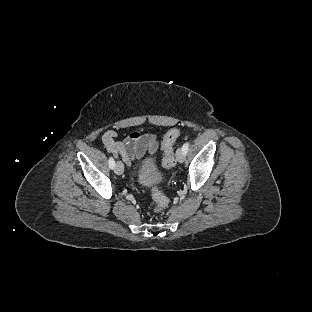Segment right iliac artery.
<instances>
[{
    "mask_svg": "<svg viewBox=\"0 0 312 312\" xmlns=\"http://www.w3.org/2000/svg\"><path fill=\"white\" fill-rule=\"evenodd\" d=\"M109 168L113 169L115 167V161L112 157H109Z\"/></svg>",
    "mask_w": 312,
    "mask_h": 312,
    "instance_id": "1",
    "label": "right iliac artery"
}]
</instances>
